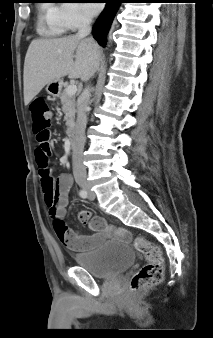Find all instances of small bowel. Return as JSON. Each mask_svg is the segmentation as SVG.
I'll use <instances>...</instances> for the list:
<instances>
[{
    "label": "small bowel",
    "instance_id": "obj_1",
    "mask_svg": "<svg viewBox=\"0 0 213 338\" xmlns=\"http://www.w3.org/2000/svg\"><path fill=\"white\" fill-rule=\"evenodd\" d=\"M39 149L43 154L49 155L51 153V147L48 142L40 144ZM71 188V178L68 174H61L56 183V192L58 200L56 203L57 219L61 223L64 222L66 216V206L68 203L69 191ZM77 218L80 222L88 224L91 218V214L88 211L80 210L77 212ZM99 222L103 224L102 217H95ZM65 228V227H64ZM58 238L61 243L65 244L70 250L75 252L91 251L96 248L97 244L107 237V232L102 228L96 229L93 235H86L80 232L73 231L65 228V231H57ZM117 237L120 239H128L130 234L124 228H119Z\"/></svg>",
    "mask_w": 213,
    "mask_h": 338
}]
</instances>
